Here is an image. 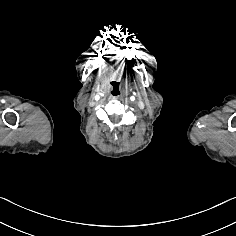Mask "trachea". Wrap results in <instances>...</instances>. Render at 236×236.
I'll return each instance as SVG.
<instances>
[{
	"instance_id": "3493384b",
	"label": "trachea",
	"mask_w": 236,
	"mask_h": 236,
	"mask_svg": "<svg viewBox=\"0 0 236 236\" xmlns=\"http://www.w3.org/2000/svg\"><path fill=\"white\" fill-rule=\"evenodd\" d=\"M110 94L112 97H118L121 95L122 91L120 88V84L117 81H112L109 84Z\"/></svg>"
}]
</instances>
